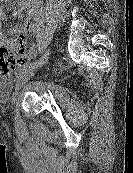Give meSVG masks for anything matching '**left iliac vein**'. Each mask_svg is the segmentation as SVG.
Returning <instances> with one entry per match:
<instances>
[{"instance_id":"4c4485c4","label":"left iliac vein","mask_w":133,"mask_h":173,"mask_svg":"<svg viewBox=\"0 0 133 173\" xmlns=\"http://www.w3.org/2000/svg\"><path fill=\"white\" fill-rule=\"evenodd\" d=\"M46 59L47 58L41 59L39 62H37L35 67L29 69L28 71L23 73L20 77H18L16 83V90H19L35 74L37 69L42 67Z\"/></svg>"}]
</instances>
